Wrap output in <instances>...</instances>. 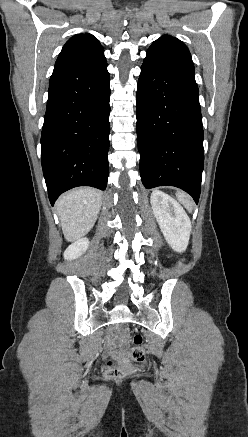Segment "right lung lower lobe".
<instances>
[{
  "mask_svg": "<svg viewBox=\"0 0 248 437\" xmlns=\"http://www.w3.org/2000/svg\"><path fill=\"white\" fill-rule=\"evenodd\" d=\"M109 100L106 59L54 68L41 134V163L52 205L73 187L106 188Z\"/></svg>",
  "mask_w": 248,
  "mask_h": 437,
  "instance_id": "1",
  "label": "right lung lower lobe"
}]
</instances>
